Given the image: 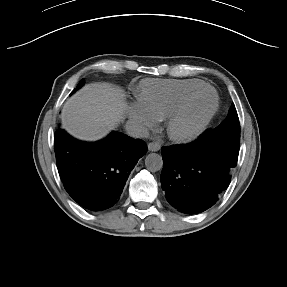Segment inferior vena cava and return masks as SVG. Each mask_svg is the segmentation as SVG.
Instances as JSON below:
<instances>
[{"label":"inferior vena cava","mask_w":287,"mask_h":287,"mask_svg":"<svg viewBox=\"0 0 287 287\" xmlns=\"http://www.w3.org/2000/svg\"><path fill=\"white\" fill-rule=\"evenodd\" d=\"M125 131L132 138H147L149 136L148 129L135 120H128L126 122Z\"/></svg>","instance_id":"inferior-vena-cava-1"}]
</instances>
